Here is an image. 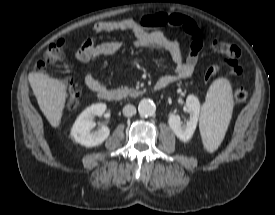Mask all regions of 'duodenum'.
<instances>
[{
	"label": "duodenum",
	"instance_id": "1",
	"mask_svg": "<svg viewBox=\"0 0 275 215\" xmlns=\"http://www.w3.org/2000/svg\"><path fill=\"white\" fill-rule=\"evenodd\" d=\"M170 83L165 79H159L155 85V90H161L166 88ZM98 96L105 101H117L120 98V93L113 89H103L98 92Z\"/></svg>",
	"mask_w": 275,
	"mask_h": 215
}]
</instances>
